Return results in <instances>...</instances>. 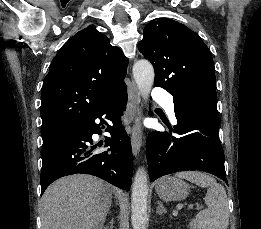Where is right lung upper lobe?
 <instances>
[{"label":"right lung upper lobe","mask_w":261,"mask_h":229,"mask_svg":"<svg viewBox=\"0 0 261 229\" xmlns=\"http://www.w3.org/2000/svg\"><path fill=\"white\" fill-rule=\"evenodd\" d=\"M128 59L93 26L71 37L53 59L41 93L44 130L62 134L89 121L126 90Z\"/></svg>","instance_id":"cb5924a9"}]
</instances>
